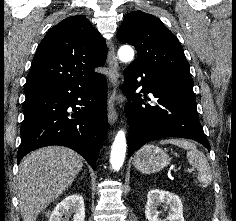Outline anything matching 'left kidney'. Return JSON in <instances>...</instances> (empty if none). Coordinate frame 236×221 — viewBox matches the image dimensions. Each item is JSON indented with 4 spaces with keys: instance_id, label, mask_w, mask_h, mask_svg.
Returning a JSON list of instances; mask_svg holds the SVG:
<instances>
[{
    "instance_id": "obj_1",
    "label": "left kidney",
    "mask_w": 236,
    "mask_h": 221,
    "mask_svg": "<svg viewBox=\"0 0 236 221\" xmlns=\"http://www.w3.org/2000/svg\"><path fill=\"white\" fill-rule=\"evenodd\" d=\"M162 203L165 208H170L166 219L160 218L158 206ZM145 216L148 221H184L183 205L180 198L168 191L153 189L148 192L145 207Z\"/></svg>"
}]
</instances>
